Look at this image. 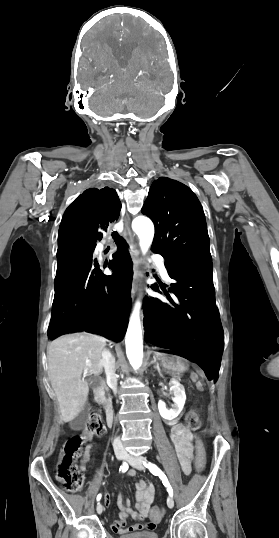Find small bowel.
Returning a JSON list of instances; mask_svg holds the SVG:
<instances>
[{
	"instance_id": "1",
	"label": "small bowel",
	"mask_w": 279,
	"mask_h": 538,
	"mask_svg": "<svg viewBox=\"0 0 279 538\" xmlns=\"http://www.w3.org/2000/svg\"><path fill=\"white\" fill-rule=\"evenodd\" d=\"M170 439L175 447L177 457L180 463V466L184 474L188 475L191 472V459L193 452V436L187 430V428L180 423L174 424L171 429ZM94 446L88 444L83 452L81 458V469L85 470V465L89 462L91 452L93 451ZM136 475V470L131 468L128 471V477H134ZM155 495V487L153 484L147 485L144 480H140L137 483L136 489V511L132 508L131 501L129 499H124L120 493L117 498V504L121 510L119 518L111 524V530L115 533H128L141 531L143 529L152 530L155 528V523L153 521H148L142 523L144 519L148 517L151 504L153 502ZM105 505L109 506L111 499L110 495H105ZM132 518L137 522L134 525L127 526V520Z\"/></svg>"
}]
</instances>
